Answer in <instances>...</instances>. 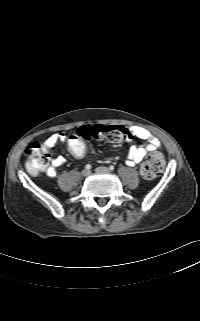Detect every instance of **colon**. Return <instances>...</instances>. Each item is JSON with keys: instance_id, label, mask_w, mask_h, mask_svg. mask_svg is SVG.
Returning <instances> with one entry per match:
<instances>
[{"instance_id": "1", "label": "colon", "mask_w": 200, "mask_h": 321, "mask_svg": "<svg viewBox=\"0 0 200 321\" xmlns=\"http://www.w3.org/2000/svg\"><path fill=\"white\" fill-rule=\"evenodd\" d=\"M131 139L129 130L119 125H84L77 129L74 135L67 137L64 146L72 157L81 160L86 155L84 141L105 140L112 143H122ZM27 169L32 174L41 172L49 163L50 154L44 146L33 142L26 150ZM164 169L163 156L158 152L151 153L141 166V175L146 180L159 176Z\"/></svg>"}]
</instances>
